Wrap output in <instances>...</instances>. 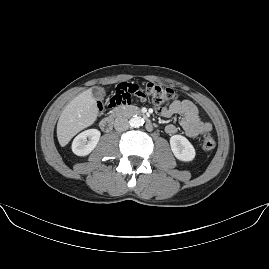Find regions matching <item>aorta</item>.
<instances>
[{
    "instance_id": "obj_1",
    "label": "aorta",
    "mask_w": 269,
    "mask_h": 269,
    "mask_svg": "<svg viewBox=\"0 0 269 269\" xmlns=\"http://www.w3.org/2000/svg\"><path fill=\"white\" fill-rule=\"evenodd\" d=\"M129 124L131 127L139 128L144 124V120L139 116H134L130 119Z\"/></svg>"
}]
</instances>
